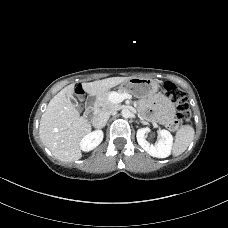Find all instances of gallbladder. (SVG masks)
Listing matches in <instances>:
<instances>
[{"instance_id":"bac80fb5","label":"gallbladder","mask_w":228,"mask_h":228,"mask_svg":"<svg viewBox=\"0 0 228 228\" xmlns=\"http://www.w3.org/2000/svg\"><path fill=\"white\" fill-rule=\"evenodd\" d=\"M69 99L78 107L80 111H83V109L79 106L77 100L73 96H70Z\"/></svg>"}]
</instances>
